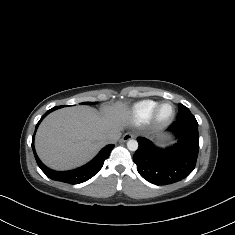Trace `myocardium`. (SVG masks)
Masks as SVG:
<instances>
[{
    "instance_id": "myocardium-1",
    "label": "myocardium",
    "mask_w": 235,
    "mask_h": 235,
    "mask_svg": "<svg viewBox=\"0 0 235 235\" xmlns=\"http://www.w3.org/2000/svg\"><path fill=\"white\" fill-rule=\"evenodd\" d=\"M166 103L172 104L173 114L170 118L164 120L160 118L159 111H160V108ZM176 113H177V110H176L175 104L172 101L164 100L156 104V106L153 109L151 118L154 124L160 127H164V126L170 125L175 120Z\"/></svg>"
}]
</instances>
